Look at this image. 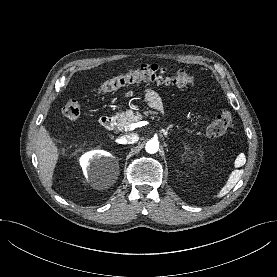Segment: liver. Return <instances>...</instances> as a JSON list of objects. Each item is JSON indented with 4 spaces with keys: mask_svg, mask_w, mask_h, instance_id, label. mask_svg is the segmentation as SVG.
<instances>
[{
    "mask_svg": "<svg viewBox=\"0 0 277 277\" xmlns=\"http://www.w3.org/2000/svg\"><path fill=\"white\" fill-rule=\"evenodd\" d=\"M36 144L39 169L43 180L50 186L60 151L45 126L40 127Z\"/></svg>",
    "mask_w": 277,
    "mask_h": 277,
    "instance_id": "6515ba94",
    "label": "liver"
}]
</instances>
